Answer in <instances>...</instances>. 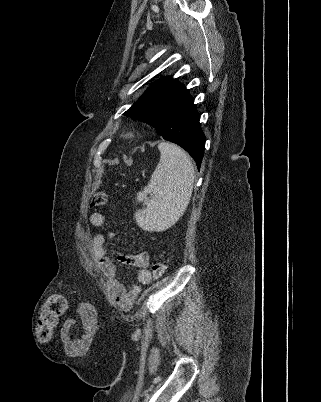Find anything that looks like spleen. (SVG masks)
Returning <instances> with one entry per match:
<instances>
[{
  "label": "spleen",
  "mask_w": 321,
  "mask_h": 402,
  "mask_svg": "<svg viewBox=\"0 0 321 402\" xmlns=\"http://www.w3.org/2000/svg\"><path fill=\"white\" fill-rule=\"evenodd\" d=\"M158 149L160 161L148 185L137 194V201L146 207L134 214L138 226L146 231L173 225L186 210L193 191L194 167L185 151L167 142L159 143Z\"/></svg>",
  "instance_id": "3e777b00"
}]
</instances>
